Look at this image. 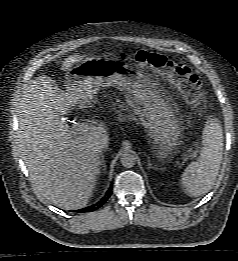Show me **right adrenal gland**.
<instances>
[{
	"label": "right adrenal gland",
	"instance_id": "obj_1",
	"mask_svg": "<svg viewBox=\"0 0 238 261\" xmlns=\"http://www.w3.org/2000/svg\"><path fill=\"white\" fill-rule=\"evenodd\" d=\"M100 157H101V166H100V172L102 171V170H106V162H105V160H104V154L103 153H100Z\"/></svg>",
	"mask_w": 238,
	"mask_h": 261
}]
</instances>
